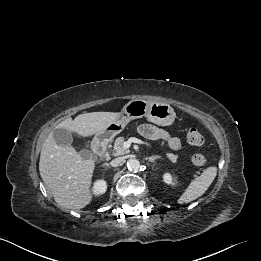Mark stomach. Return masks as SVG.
<instances>
[{"label": "stomach", "mask_w": 261, "mask_h": 261, "mask_svg": "<svg viewBox=\"0 0 261 261\" xmlns=\"http://www.w3.org/2000/svg\"><path fill=\"white\" fill-rule=\"evenodd\" d=\"M175 116L174 109L166 102L133 99L123 107L120 118L109 124L104 134L96 135L94 140H111L133 119L146 117L154 124L168 126L174 122Z\"/></svg>", "instance_id": "obj_1"}]
</instances>
